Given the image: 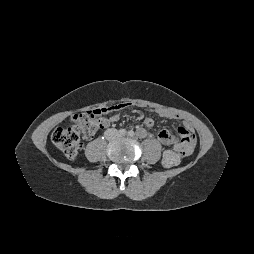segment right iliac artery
I'll return each instance as SVG.
<instances>
[{
    "instance_id": "right-iliac-artery-1",
    "label": "right iliac artery",
    "mask_w": 254,
    "mask_h": 254,
    "mask_svg": "<svg viewBox=\"0 0 254 254\" xmlns=\"http://www.w3.org/2000/svg\"><path fill=\"white\" fill-rule=\"evenodd\" d=\"M126 133H127V132H126L125 129H120V130H119V134H120V135H126Z\"/></svg>"
}]
</instances>
